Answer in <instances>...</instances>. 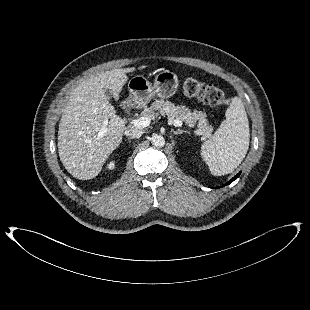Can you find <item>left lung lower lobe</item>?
<instances>
[{
	"instance_id": "left-lung-lower-lobe-1",
	"label": "left lung lower lobe",
	"mask_w": 310,
	"mask_h": 310,
	"mask_svg": "<svg viewBox=\"0 0 310 310\" xmlns=\"http://www.w3.org/2000/svg\"><path fill=\"white\" fill-rule=\"evenodd\" d=\"M241 172H239L234 178H232L228 183H226L224 186L230 184L231 182H233L235 179H237L239 177Z\"/></svg>"
}]
</instances>
